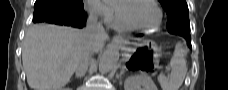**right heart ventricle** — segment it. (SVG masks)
Wrapping results in <instances>:
<instances>
[{"label":"right heart ventricle","instance_id":"obj_1","mask_svg":"<svg viewBox=\"0 0 228 90\" xmlns=\"http://www.w3.org/2000/svg\"><path fill=\"white\" fill-rule=\"evenodd\" d=\"M122 1H113V5L116 10V15H114V18L110 22V25L115 29H126L123 24L120 22L118 15H117V7Z\"/></svg>","mask_w":228,"mask_h":90}]
</instances>
